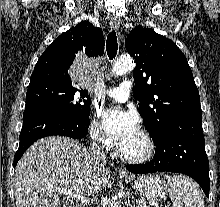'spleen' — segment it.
I'll return each instance as SVG.
<instances>
[{"instance_id": "1", "label": "spleen", "mask_w": 220, "mask_h": 207, "mask_svg": "<svg viewBox=\"0 0 220 207\" xmlns=\"http://www.w3.org/2000/svg\"><path fill=\"white\" fill-rule=\"evenodd\" d=\"M165 177L173 207H204L202 192L191 179L183 175Z\"/></svg>"}]
</instances>
